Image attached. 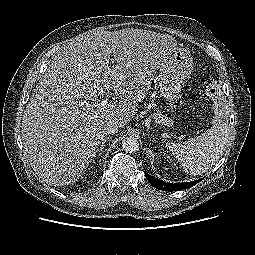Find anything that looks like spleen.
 <instances>
[{
  "label": "spleen",
  "instance_id": "obj_1",
  "mask_svg": "<svg viewBox=\"0 0 255 255\" xmlns=\"http://www.w3.org/2000/svg\"><path fill=\"white\" fill-rule=\"evenodd\" d=\"M229 129L227 122L218 119L205 133L191 139L188 146L169 143L168 147L185 172L193 176L201 175L219 159L229 137Z\"/></svg>",
  "mask_w": 255,
  "mask_h": 255
}]
</instances>
